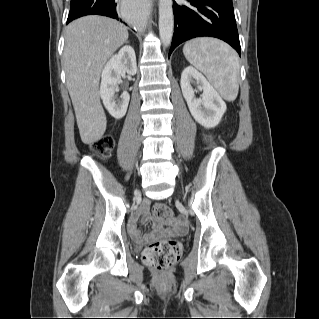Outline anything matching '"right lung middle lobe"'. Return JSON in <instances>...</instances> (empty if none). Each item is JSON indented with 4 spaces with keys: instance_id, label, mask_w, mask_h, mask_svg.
<instances>
[{
    "instance_id": "obj_1",
    "label": "right lung middle lobe",
    "mask_w": 319,
    "mask_h": 319,
    "mask_svg": "<svg viewBox=\"0 0 319 319\" xmlns=\"http://www.w3.org/2000/svg\"><path fill=\"white\" fill-rule=\"evenodd\" d=\"M76 0H71V3H70V5H72L74 2H75Z\"/></svg>"
}]
</instances>
